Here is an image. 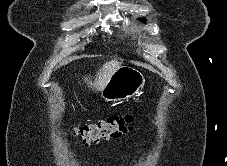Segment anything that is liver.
Instances as JSON below:
<instances>
[{
	"mask_svg": "<svg viewBox=\"0 0 227 166\" xmlns=\"http://www.w3.org/2000/svg\"><path fill=\"white\" fill-rule=\"evenodd\" d=\"M121 66V62L116 59L110 60L103 64L99 69L94 79V82L89 80L90 77H85V82L95 91H102L112 74Z\"/></svg>",
	"mask_w": 227,
	"mask_h": 166,
	"instance_id": "6515ba94",
	"label": "liver"
}]
</instances>
